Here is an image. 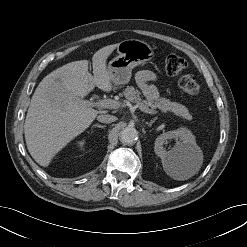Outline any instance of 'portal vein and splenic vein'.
I'll return each instance as SVG.
<instances>
[{"mask_svg":"<svg viewBox=\"0 0 247 247\" xmlns=\"http://www.w3.org/2000/svg\"><path fill=\"white\" fill-rule=\"evenodd\" d=\"M84 103H88L89 105L92 106H96L98 108H107V109H116L122 106V103L117 102L115 100H111V99H101L98 100L96 102H88V101H84ZM136 106L143 112L148 113V114H156L157 111L151 110L149 108H147L146 106H144L141 103H137Z\"/></svg>","mask_w":247,"mask_h":247,"instance_id":"18ae733b","label":"portal vein and splenic vein"}]
</instances>
